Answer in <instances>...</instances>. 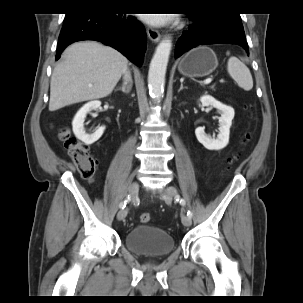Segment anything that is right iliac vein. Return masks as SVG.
Returning a JSON list of instances; mask_svg holds the SVG:
<instances>
[{
	"instance_id": "1",
	"label": "right iliac vein",
	"mask_w": 303,
	"mask_h": 303,
	"mask_svg": "<svg viewBox=\"0 0 303 303\" xmlns=\"http://www.w3.org/2000/svg\"><path fill=\"white\" fill-rule=\"evenodd\" d=\"M139 191V184L137 182H133L130 184L129 188H128V193L132 198H135L137 193ZM128 214V209H122L120 210V212L117 215V219L118 220H123Z\"/></svg>"
}]
</instances>
